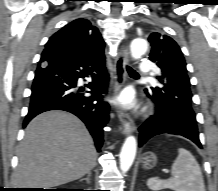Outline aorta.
<instances>
[{
	"label": "aorta",
	"instance_id": "obj_1",
	"mask_svg": "<svg viewBox=\"0 0 218 191\" xmlns=\"http://www.w3.org/2000/svg\"><path fill=\"white\" fill-rule=\"evenodd\" d=\"M148 49L146 40L137 38L131 42L130 51L134 59L141 58ZM137 150V142L134 136H128L120 152V169L123 173L127 172L133 164Z\"/></svg>",
	"mask_w": 218,
	"mask_h": 191
}]
</instances>
